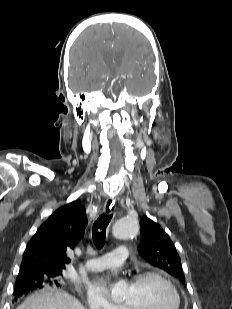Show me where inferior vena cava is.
Instances as JSON below:
<instances>
[{
	"label": "inferior vena cava",
	"mask_w": 232,
	"mask_h": 309,
	"mask_svg": "<svg viewBox=\"0 0 232 309\" xmlns=\"http://www.w3.org/2000/svg\"><path fill=\"white\" fill-rule=\"evenodd\" d=\"M90 309H100V308H99V305L97 303H92L90 305Z\"/></svg>",
	"instance_id": "obj_1"
}]
</instances>
